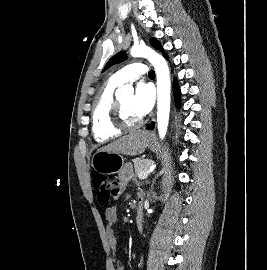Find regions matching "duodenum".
Masks as SVG:
<instances>
[{
  "mask_svg": "<svg viewBox=\"0 0 267 270\" xmlns=\"http://www.w3.org/2000/svg\"><path fill=\"white\" fill-rule=\"evenodd\" d=\"M138 202H139V207L137 210V216L135 218V224L138 229H141L143 225V198L139 197Z\"/></svg>",
  "mask_w": 267,
  "mask_h": 270,
  "instance_id": "obj_1",
  "label": "duodenum"
}]
</instances>
